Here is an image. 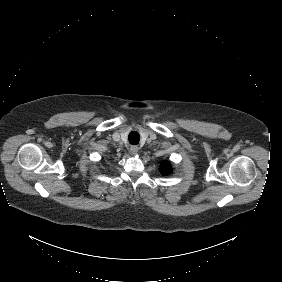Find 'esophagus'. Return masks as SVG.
<instances>
[{
  "mask_svg": "<svg viewBox=\"0 0 282 282\" xmlns=\"http://www.w3.org/2000/svg\"><path fill=\"white\" fill-rule=\"evenodd\" d=\"M138 150H139V148H138L137 146H131V147H130V152H131L133 155L137 154Z\"/></svg>",
  "mask_w": 282,
  "mask_h": 282,
  "instance_id": "obj_1",
  "label": "esophagus"
}]
</instances>
